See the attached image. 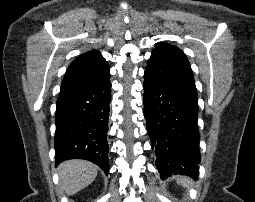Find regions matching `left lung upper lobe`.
<instances>
[{
  "label": "left lung upper lobe",
  "instance_id": "1",
  "mask_svg": "<svg viewBox=\"0 0 255 202\" xmlns=\"http://www.w3.org/2000/svg\"><path fill=\"white\" fill-rule=\"evenodd\" d=\"M145 74L171 87L196 92L190 63L179 48L160 43L153 50Z\"/></svg>",
  "mask_w": 255,
  "mask_h": 202
}]
</instances>
